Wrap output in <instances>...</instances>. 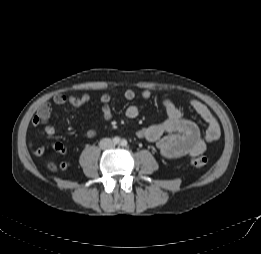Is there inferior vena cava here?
Masks as SVG:
<instances>
[{
    "mask_svg": "<svg viewBox=\"0 0 261 254\" xmlns=\"http://www.w3.org/2000/svg\"><path fill=\"white\" fill-rule=\"evenodd\" d=\"M99 146L101 149L107 150L113 148L114 143L110 138H104L100 141Z\"/></svg>",
    "mask_w": 261,
    "mask_h": 254,
    "instance_id": "inferior-vena-cava-1",
    "label": "inferior vena cava"
}]
</instances>
